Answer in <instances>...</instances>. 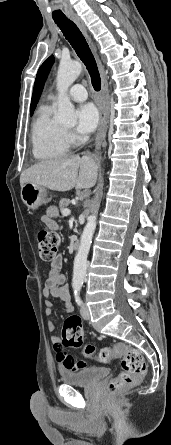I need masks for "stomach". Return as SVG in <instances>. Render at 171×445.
<instances>
[{"instance_id": "stomach-1", "label": "stomach", "mask_w": 171, "mask_h": 445, "mask_svg": "<svg viewBox=\"0 0 171 445\" xmlns=\"http://www.w3.org/2000/svg\"><path fill=\"white\" fill-rule=\"evenodd\" d=\"M21 199L27 208L31 210H35L51 200L45 187L33 183H25L22 186Z\"/></svg>"}]
</instances>
